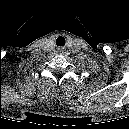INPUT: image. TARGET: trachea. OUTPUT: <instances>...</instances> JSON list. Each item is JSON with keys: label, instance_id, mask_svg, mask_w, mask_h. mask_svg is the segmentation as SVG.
<instances>
[{"label": "trachea", "instance_id": "trachea-1", "mask_svg": "<svg viewBox=\"0 0 129 129\" xmlns=\"http://www.w3.org/2000/svg\"><path fill=\"white\" fill-rule=\"evenodd\" d=\"M56 45H57V46H64V45H65V38L62 37V36H59V37L56 39Z\"/></svg>", "mask_w": 129, "mask_h": 129}]
</instances>
